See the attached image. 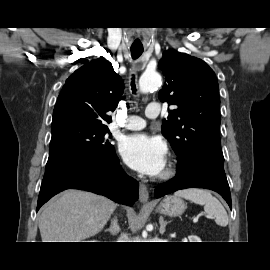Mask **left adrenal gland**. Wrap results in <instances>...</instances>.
Wrapping results in <instances>:
<instances>
[{
    "mask_svg": "<svg viewBox=\"0 0 270 270\" xmlns=\"http://www.w3.org/2000/svg\"><path fill=\"white\" fill-rule=\"evenodd\" d=\"M170 222H167L164 220L163 216H160L159 218V224H160V229L159 232L161 235L164 234L165 230H166V226L169 224Z\"/></svg>",
    "mask_w": 270,
    "mask_h": 270,
    "instance_id": "left-adrenal-gland-1",
    "label": "left adrenal gland"
}]
</instances>
